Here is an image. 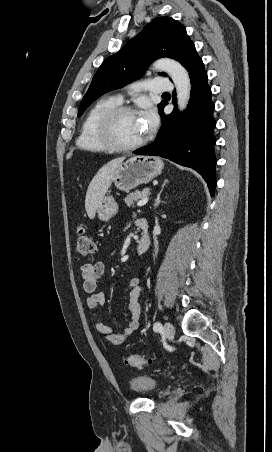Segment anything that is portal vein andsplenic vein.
Wrapping results in <instances>:
<instances>
[{
  "mask_svg": "<svg viewBox=\"0 0 272 452\" xmlns=\"http://www.w3.org/2000/svg\"><path fill=\"white\" fill-rule=\"evenodd\" d=\"M149 200V196H145L140 201L137 202V206L142 207L144 206Z\"/></svg>",
  "mask_w": 272,
  "mask_h": 452,
  "instance_id": "obj_1",
  "label": "portal vein and splenic vein"
}]
</instances>
